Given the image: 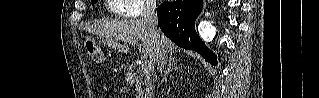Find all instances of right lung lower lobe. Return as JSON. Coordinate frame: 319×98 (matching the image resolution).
I'll list each match as a JSON object with an SVG mask.
<instances>
[{
	"label": "right lung lower lobe",
	"mask_w": 319,
	"mask_h": 98,
	"mask_svg": "<svg viewBox=\"0 0 319 98\" xmlns=\"http://www.w3.org/2000/svg\"><path fill=\"white\" fill-rule=\"evenodd\" d=\"M202 7V0L164 2L157 10L158 25L175 44L196 51L211 64L216 65L215 54L204 45L195 31L194 23Z\"/></svg>",
	"instance_id": "right-lung-lower-lobe-1"
}]
</instances>
